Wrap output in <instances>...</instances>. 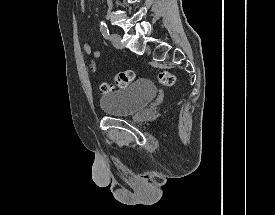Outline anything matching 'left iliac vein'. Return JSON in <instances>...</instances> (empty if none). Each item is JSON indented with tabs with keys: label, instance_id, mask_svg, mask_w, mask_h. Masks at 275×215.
Returning a JSON list of instances; mask_svg holds the SVG:
<instances>
[{
	"label": "left iliac vein",
	"instance_id": "1",
	"mask_svg": "<svg viewBox=\"0 0 275 215\" xmlns=\"http://www.w3.org/2000/svg\"><path fill=\"white\" fill-rule=\"evenodd\" d=\"M110 40L116 48H118V49L123 48V44L121 43V36L119 34H117V33L111 34Z\"/></svg>",
	"mask_w": 275,
	"mask_h": 215
}]
</instances>
